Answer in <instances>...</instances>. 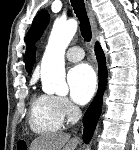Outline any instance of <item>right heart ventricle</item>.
Masks as SVG:
<instances>
[{"mask_svg": "<svg viewBox=\"0 0 139 150\" xmlns=\"http://www.w3.org/2000/svg\"><path fill=\"white\" fill-rule=\"evenodd\" d=\"M64 116L60 112L56 98L49 94H34L29 109V125L38 134L58 131Z\"/></svg>", "mask_w": 139, "mask_h": 150, "instance_id": "1", "label": "right heart ventricle"}]
</instances>
